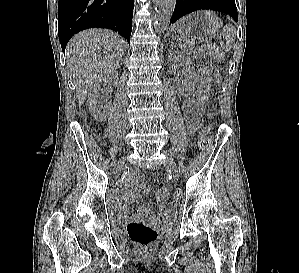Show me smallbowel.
<instances>
[{"label":"small bowel","mask_w":299,"mask_h":273,"mask_svg":"<svg viewBox=\"0 0 299 273\" xmlns=\"http://www.w3.org/2000/svg\"><path fill=\"white\" fill-rule=\"evenodd\" d=\"M183 111L189 130L194 132L200 124V115L196 111L195 101L191 98L186 99L183 104ZM150 191L151 189L149 185L143 181L141 174L132 175L124 187L118 192L117 200L120 212L123 215H126L128 213L126 204L138 198L139 194H148ZM170 192L171 187L169 185H164L156 193V199L159 204V214L166 220H170L175 216V211L166 205ZM135 218L154 221V218L151 216V209L147 205H142L138 209Z\"/></svg>","instance_id":"c3829d8e"}]
</instances>
